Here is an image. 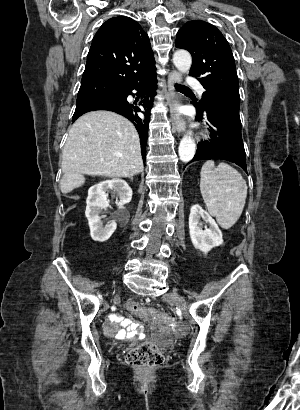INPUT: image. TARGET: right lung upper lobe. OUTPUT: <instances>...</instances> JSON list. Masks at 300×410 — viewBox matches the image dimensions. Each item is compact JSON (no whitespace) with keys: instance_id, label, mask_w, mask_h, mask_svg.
<instances>
[{"instance_id":"1","label":"right lung upper lobe","mask_w":300,"mask_h":410,"mask_svg":"<svg viewBox=\"0 0 300 410\" xmlns=\"http://www.w3.org/2000/svg\"><path fill=\"white\" fill-rule=\"evenodd\" d=\"M155 75L147 33L129 17L107 20L93 38L82 82H102L125 89Z\"/></svg>"}]
</instances>
